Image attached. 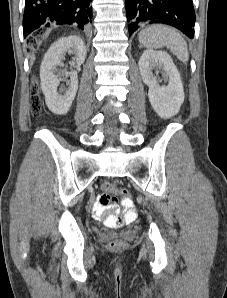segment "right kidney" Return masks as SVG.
Instances as JSON below:
<instances>
[{"mask_svg": "<svg viewBox=\"0 0 227 298\" xmlns=\"http://www.w3.org/2000/svg\"><path fill=\"white\" fill-rule=\"evenodd\" d=\"M67 53L74 56L72 65L79 68L84 63L87 54L83 40L77 36L58 39L44 55L40 67L41 88L46 104L53 113L58 115H64L69 111L78 89L77 71H72L65 73L70 76L69 88L58 91L60 80L55 75L56 67L62 64Z\"/></svg>", "mask_w": 227, "mask_h": 298, "instance_id": "1", "label": "right kidney"}]
</instances>
